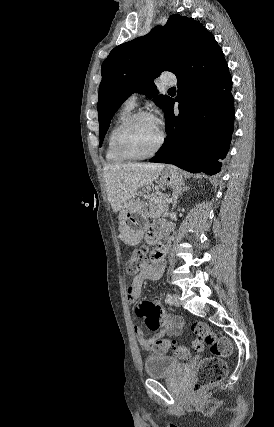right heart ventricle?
<instances>
[{
	"label": "right heart ventricle",
	"mask_w": 274,
	"mask_h": 427,
	"mask_svg": "<svg viewBox=\"0 0 274 427\" xmlns=\"http://www.w3.org/2000/svg\"><path fill=\"white\" fill-rule=\"evenodd\" d=\"M131 110L123 108L114 119L106 137L105 157L111 164H124L128 160L122 156L115 146V136L120 125L131 115Z\"/></svg>",
	"instance_id": "right-heart-ventricle-1"
}]
</instances>
